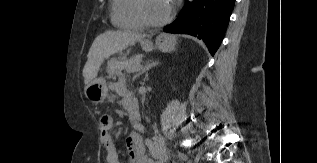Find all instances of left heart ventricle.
<instances>
[{"label": "left heart ventricle", "instance_id": "1", "mask_svg": "<svg viewBox=\"0 0 317 163\" xmlns=\"http://www.w3.org/2000/svg\"><path fill=\"white\" fill-rule=\"evenodd\" d=\"M172 6L170 0H145L147 15L154 21H159L167 17Z\"/></svg>", "mask_w": 317, "mask_h": 163}]
</instances>
